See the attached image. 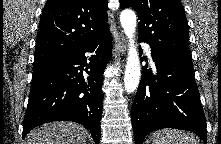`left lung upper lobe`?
<instances>
[{"label": "left lung upper lobe", "instance_id": "5c2ea615", "mask_svg": "<svg viewBox=\"0 0 221 144\" xmlns=\"http://www.w3.org/2000/svg\"><path fill=\"white\" fill-rule=\"evenodd\" d=\"M128 7L138 13L140 41L157 51L192 60L189 26L180 0H120L121 9Z\"/></svg>", "mask_w": 221, "mask_h": 144}]
</instances>
